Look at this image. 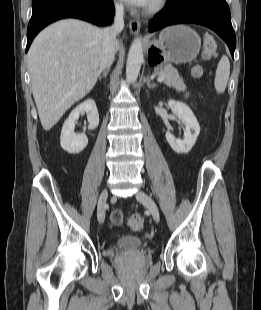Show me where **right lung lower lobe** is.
I'll use <instances>...</instances> for the list:
<instances>
[{"instance_id":"98d812e1","label":"right lung lower lobe","mask_w":261,"mask_h":310,"mask_svg":"<svg viewBox=\"0 0 261 310\" xmlns=\"http://www.w3.org/2000/svg\"><path fill=\"white\" fill-rule=\"evenodd\" d=\"M32 8L26 52L38 32L56 20L78 18L104 26L110 24L114 16L112 0H33Z\"/></svg>"}]
</instances>
